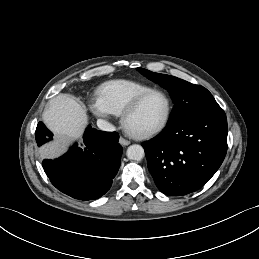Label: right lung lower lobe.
I'll use <instances>...</instances> for the list:
<instances>
[{
  "instance_id": "right-lung-lower-lobe-1",
  "label": "right lung lower lobe",
  "mask_w": 259,
  "mask_h": 259,
  "mask_svg": "<svg viewBox=\"0 0 259 259\" xmlns=\"http://www.w3.org/2000/svg\"><path fill=\"white\" fill-rule=\"evenodd\" d=\"M52 136L39 122L36 128L38 146ZM85 149L75 144L69 153L55 160H43L42 166L51 183L61 192L80 200L104 195L118 172L122 147L116 132H103L89 126L84 134Z\"/></svg>"
}]
</instances>
